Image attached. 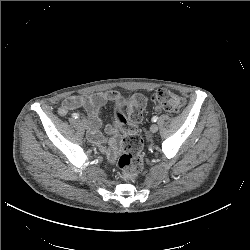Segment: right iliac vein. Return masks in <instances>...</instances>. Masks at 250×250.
I'll list each match as a JSON object with an SVG mask.
<instances>
[{
	"label": "right iliac vein",
	"instance_id": "1",
	"mask_svg": "<svg viewBox=\"0 0 250 250\" xmlns=\"http://www.w3.org/2000/svg\"><path fill=\"white\" fill-rule=\"evenodd\" d=\"M80 123L82 124V126L85 128V129H88L89 128V121L86 119V118H82L80 120Z\"/></svg>",
	"mask_w": 250,
	"mask_h": 250
}]
</instances>
